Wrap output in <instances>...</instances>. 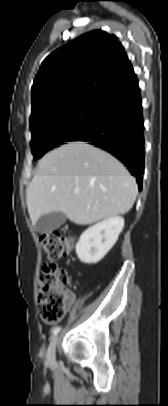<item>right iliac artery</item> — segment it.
<instances>
[{
  "label": "right iliac artery",
  "instance_id": "obj_1",
  "mask_svg": "<svg viewBox=\"0 0 168 406\" xmlns=\"http://www.w3.org/2000/svg\"><path fill=\"white\" fill-rule=\"evenodd\" d=\"M61 328L60 327H55L52 331L53 335H56L60 332Z\"/></svg>",
  "mask_w": 168,
  "mask_h": 406
}]
</instances>
